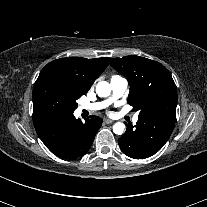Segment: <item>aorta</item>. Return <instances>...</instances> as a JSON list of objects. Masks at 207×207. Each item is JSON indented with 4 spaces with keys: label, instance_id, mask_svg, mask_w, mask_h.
I'll use <instances>...</instances> for the list:
<instances>
[{
    "label": "aorta",
    "instance_id": "aorta-1",
    "mask_svg": "<svg viewBox=\"0 0 207 207\" xmlns=\"http://www.w3.org/2000/svg\"><path fill=\"white\" fill-rule=\"evenodd\" d=\"M96 93L100 97H107L111 93V86L106 81H100L96 85ZM125 130V125L122 122H117L113 125V132L117 135H122Z\"/></svg>",
    "mask_w": 207,
    "mask_h": 207
}]
</instances>
